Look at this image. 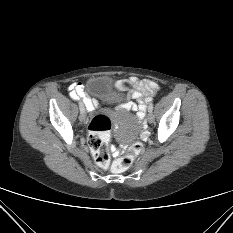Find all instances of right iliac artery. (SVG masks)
<instances>
[{"mask_svg":"<svg viewBox=\"0 0 233 233\" xmlns=\"http://www.w3.org/2000/svg\"><path fill=\"white\" fill-rule=\"evenodd\" d=\"M75 99H78V97H76ZM80 108V107H79ZM83 109L82 108H80V111H82Z\"/></svg>","mask_w":233,"mask_h":233,"instance_id":"obj_1","label":"right iliac artery"}]
</instances>
